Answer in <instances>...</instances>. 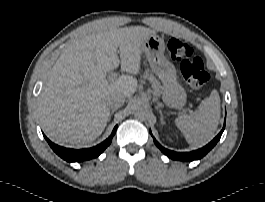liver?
Returning a JSON list of instances; mask_svg holds the SVG:
<instances>
[{
	"mask_svg": "<svg viewBox=\"0 0 265 202\" xmlns=\"http://www.w3.org/2000/svg\"><path fill=\"white\" fill-rule=\"evenodd\" d=\"M153 34L142 26L117 29L98 21L63 51L38 98L40 122L51 141L82 146L102 134L110 113L107 96L131 97L138 87L131 75L109 82L107 74L120 63L122 71L137 75L141 45Z\"/></svg>",
	"mask_w": 265,
	"mask_h": 202,
	"instance_id": "1",
	"label": "liver"
}]
</instances>
